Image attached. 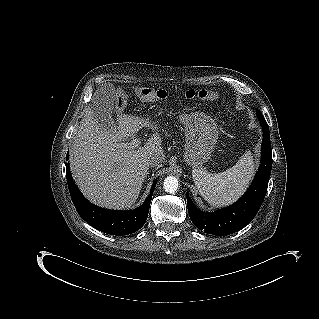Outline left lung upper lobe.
I'll return each mask as SVG.
<instances>
[{"label":"left lung upper lobe","mask_w":319,"mask_h":319,"mask_svg":"<svg viewBox=\"0 0 319 319\" xmlns=\"http://www.w3.org/2000/svg\"><path fill=\"white\" fill-rule=\"evenodd\" d=\"M257 115L262 116L261 112L257 110Z\"/></svg>","instance_id":"obj_1"}]
</instances>
